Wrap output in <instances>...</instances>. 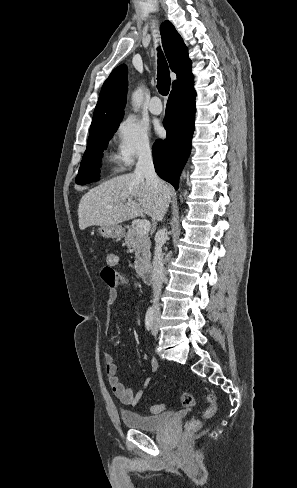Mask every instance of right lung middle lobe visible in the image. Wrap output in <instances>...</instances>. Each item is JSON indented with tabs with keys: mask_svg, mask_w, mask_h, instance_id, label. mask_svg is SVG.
I'll list each match as a JSON object with an SVG mask.
<instances>
[{
	"mask_svg": "<svg viewBox=\"0 0 297 488\" xmlns=\"http://www.w3.org/2000/svg\"><path fill=\"white\" fill-rule=\"evenodd\" d=\"M117 127L101 126L90 132L87 148L75 179L77 184L84 185L99 179V168L103 151L106 149L107 141L112 138Z\"/></svg>",
	"mask_w": 297,
	"mask_h": 488,
	"instance_id": "right-lung-middle-lobe-1",
	"label": "right lung middle lobe"
}]
</instances>
